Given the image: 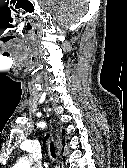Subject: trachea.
Instances as JSON below:
<instances>
[{"label": "trachea", "instance_id": "1", "mask_svg": "<svg viewBox=\"0 0 127 168\" xmlns=\"http://www.w3.org/2000/svg\"><path fill=\"white\" fill-rule=\"evenodd\" d=\"M50 152L53 158H56L55 149L53 143L50 144Z\"/></svg>", "mask_w": 127, "mask_h": 168}]
</instances>
